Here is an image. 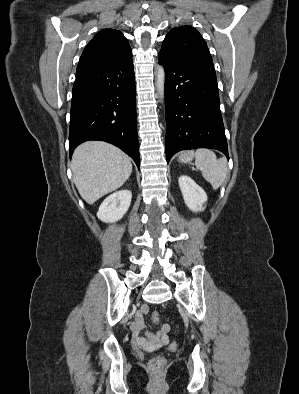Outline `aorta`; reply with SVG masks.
I'll return each instance as SVG.
<instances>
[{
    "mask_svg": "<svg viewBox=\"0 0 299 394\" xmlns=\"http://www.w3.org/2000/svg\"><path fill=\"white\" fill-rule=\"evenodd\" d=\"M164 85H165V71L163 66L157 69L156 88L158 95L161 99L164 98Z\"/></svg>",
    "mask_w": 299,
    "mask_h": 394,
    "instance_id": "aorta-1",
    "label": "aorta"
}]
</instances>
